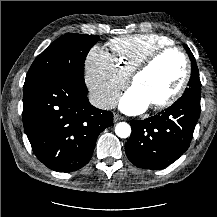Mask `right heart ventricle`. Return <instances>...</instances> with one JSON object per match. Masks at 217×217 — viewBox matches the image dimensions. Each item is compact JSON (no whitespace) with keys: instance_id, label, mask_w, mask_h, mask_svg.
Wrapping results in <instances>:
<instances>
[{"instance_id":"obj_1","label":"right heart ventricle","mask_w":217,"mask_h":217,"mask_svg":"<svg viewBox=\"0 0 217 217\" xmlns=\"http://www.w3.org/2000/svg\"><path fill=\"white\" fill-rule=\"evenodd\" d=\"M107 45L111 50L113 64L129 77L133 70L155 50L172 45V40L161 34L149 33L116 37Z\"/></svg>"}]
</instances>
